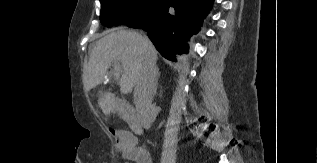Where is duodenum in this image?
I'll return each instance as SVG.
<instances>
[{
    "label": "duodenum",
    "mask_w": 317,
    "mask_h": 163,
    "mask_svg": "<svg viewBox=\"0 0 317 163\" xmlns=\"http://www.w3.org/2000/svg\"><path fill=\"white\" fill-rule=\"evenodd\" d=\"M119 105H120L121 116L125 120V122L129 125L132 133L135 135L141 134L143 132V127L137 112L130 105H128L124 100H120ZM131 141L133 143V148L135 152L137 153V155L141 156L144 152H146L145 149L135 144L133 138H131Z\"/></svg>",
    "instance_id": "obj_1"
}]
</instances>
